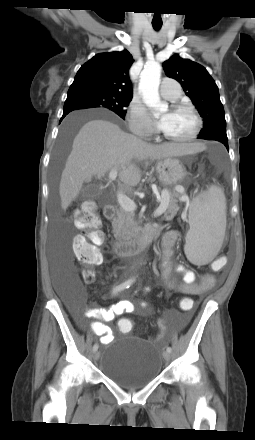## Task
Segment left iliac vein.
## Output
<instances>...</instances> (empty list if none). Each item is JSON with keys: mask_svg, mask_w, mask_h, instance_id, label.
<instances>
[{"mask_svg": "<svg viewBox=\"0 0 255 440\" xmlns=\"http://www.w3.org/2000/svg\"><path fill=\"white\" fill-rule=\"evenodd\" d=\"M163 356L166 361H169L171 359V353L168 351H165Z\"/></svg>", "mask_w": 255, "mask_h": 440, "instance_id": "obj_1", "label": "left iliac vein"}]
</instances>
